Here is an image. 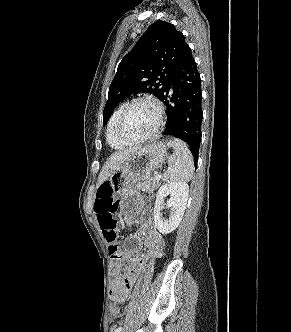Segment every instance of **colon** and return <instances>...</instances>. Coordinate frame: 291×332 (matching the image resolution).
I'll return each instance as SVG.
<instances>
[{"label": "colon", "instance_id": "5ec220e1", "mask_svg": "<svg viewBox=\"0 0 291 332\" xmlns=\"http://www.w3.org/2000/svg\"><path fill=\"white\" fill-rule=\"evenodd\" d=\"M96 211L100 228L103 236L108 245V250L112 258L119 257V249L117 246L118 232L117 221L115 214L117 211V203L114 199L113 190L111 188H105L101 190L96 198ZM119 308L112 305L110 313L112 316L119 314Z\"/></svg>", "mask_w": 291, "mask_h": 332}]
</instances>
